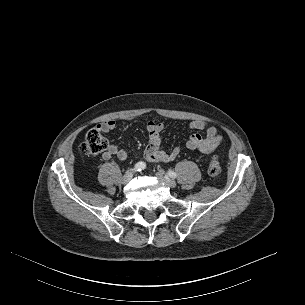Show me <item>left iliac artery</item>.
Returning <instances> with one entry per match:
<instances>
[{"label": "left iliac artery", "mask_w": 305, "mask_h": 305, "mask_svg": "<svg viewBox=\"0 0 305 305\" xmlns=\"http://www.w3.org/2000/svg\"><path fill=\"white\" fill-rule=\"evenodd\" d=\"M167 175L171 178H176L177 177V174L171 170L168 171Z\"/></svg>", "instance_id": "44dca946"}]
</instances>
